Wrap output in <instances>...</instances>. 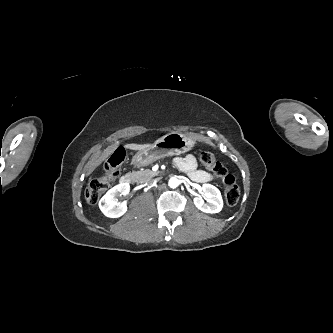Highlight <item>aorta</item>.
<instances>
[{
  "label": "aorta",
  "instance_id": "obj_1",
  "mask_svg": "<svg viewBox=\"0 0 333 333\" xmlns=\"http://www.w3.org/2000/svg\"><path fill=\"white\" fill-rule=\"evenodd\" d=\"M180 184L179 180L176 178V177H171L169 179V182H168V185L171 187V188H176L178 187Z\"/></svg>",
  "mask_w": 333,
  "mask_h": 333
}]
</instances>
